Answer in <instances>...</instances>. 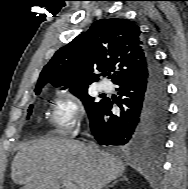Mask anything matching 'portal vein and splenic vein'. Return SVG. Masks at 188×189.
Instances as JSON below:
<instances>
[{"label":"portal vein and splenic vein","instance_id":"1","mask_svg":"<svg viewBox=\"0 0 188 189\" xmlns=\"http://www.w3.org/2000/svg\"><path fill=\"white\" fill-rule=\"evenodd\" d=\"M62 185L65 187V189H78L77 185L72 182L63 181Z\"/></svg>","mask_w":188,"mask_h":189}]
</instances>
